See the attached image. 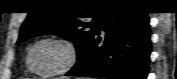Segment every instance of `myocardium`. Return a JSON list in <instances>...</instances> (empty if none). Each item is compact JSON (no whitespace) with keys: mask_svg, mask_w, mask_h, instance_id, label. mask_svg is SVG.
Segmentation results:
<instances>
[{"mask_svg":"<svg viewBox=\"0 0 177 79\" xmlns=\"http://www.w3.org/2000/svg\"><path fill=\"white\" fill-rule=\"evenodd\" d=\"M45 42H55V43L61 44L66 49V52H67L66 60L56 70L42 71V70L36 68L33 63L32 53H33L34 49L38 45L45 43ZM77 60H78V49H77L76 45L74 44V42L67 39V38L57 37V36H50V37H45V38L39 39L31 46V48L29 49L28 54H27V64H28L30 70L36 74L46 75V76H52V75H58V74L65 73L66 71H68L70 68H72L75 65Z\"/></svg>","mask_w":177,"mask_h":79,"instance_id":"f54148a6","label":"myocardium"}]
</instances>
